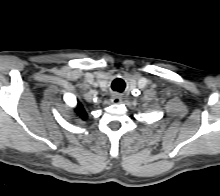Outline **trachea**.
<instances>
[{
	"instance_id": "3493384b",
	"label": "trachea",
	"mask_w": 220,
	"mask_h": 196,
	"mask_svg": "<svg viewBox=\"0 0 220 196\" xmlns=\"http://www.w3.org/2000/svg\"><path fill=\"white\" fill-rule=\"evenodd\" d=\"M112 89L114 91H117V92H123L124 91V88H125V82L118 78V79H115L113 82H112V85H111Z\"/></svg>"
}]
</instances>
